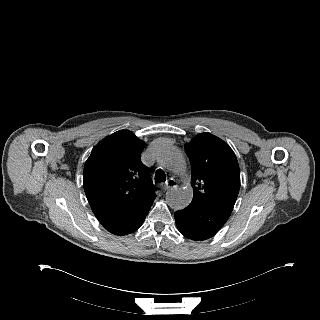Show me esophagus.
I'll use <instances>...</instances> for the list:
<instances>
[{
  "mask_svg": "<svg viewBox=\"0 0 320 320\" xmlns=\"http://www.w3.org/2000/svg\"><path fill=\"white\" fill-rule=\"evenodd\" d=\"M177 188V182L174 179H169L166 184L163 186L164 191H169Z\"/></svg>",
  "mask_w": 320,
  "mask_h": 320,
  "instance_id": "1",
  "label": "esophagus"
}]
</instances>
